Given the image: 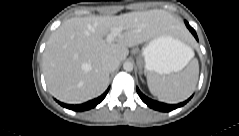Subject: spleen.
<instances>
[{
	"label": "spleen",
	"mask_w": 239,
	"mask_h": 136,
	"mask_svg": "<svg viewBox=\"0 0 239 136\" xmlns=\"http://www.w3.org/2000/svg\"><path fill=\"white\" fill-rule=\"evenodd\" d=\"M194 52L189 51V60L193 58ZM187 62V64H188ZM186 64V65H187ZM199 75L197 60H193L183 71L161 77L158 74L149 73L147 84L150 92L165 103H178L188 98L194 91Z\"/></svg>",
	"instance_id": "spleen-1"
}]
</instances>
